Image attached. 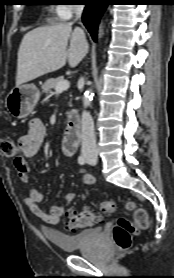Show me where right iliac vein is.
<instances>
[{
	"mask_svg": "<svg viewBox=\"0 0 174 278\" xmlns=\"http://www.w3.org/2000/svg\"><path fill=\"white\" fill-rule=\"evenodd\" d=\"M96 156V154H90L89 155V157H95Z\"/></svg>",
	"mask_w": 174,
	"mask_h": 278,
	"instance_id": "1",
	"label": "right iliac vein"
}]
</instances>
